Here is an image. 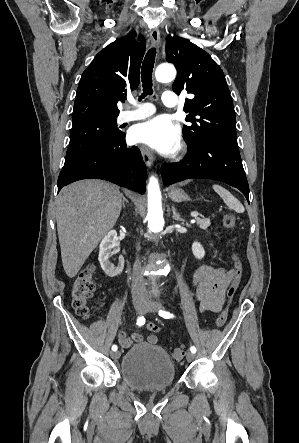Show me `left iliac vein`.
I'll return each instance as SVG.
<instances>
[{"mask_svg": "<svg viewBox=\"0 0 299 443\" xmlns=\"http://www.w3.org/2000/svg\"><path fill=\"white\" fill-rule=\"evenodd\" d=\"M161 307L160 303L157 302H147L146 304V308L144 310V313H148V312H156L159 308ZM195 358L194 353L188 351L186 354V359L188 362L193 361Z\"/></svg>", "mask_w": 299, "mask_h": 443, "instance_id": "left-iliac-vein-1", "label": "left iliac vein"}]
</instances>
